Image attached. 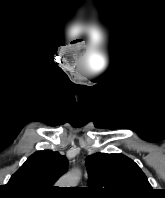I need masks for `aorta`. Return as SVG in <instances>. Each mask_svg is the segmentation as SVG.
I'll return each mask as SVG.
<instances>
[{"label": "aorta", "mask_w": 165, "mask_h": 198, "mask_svg": "<svg viewBox=\"0 0 165 198\" xmlns=\"http://www.w3.org/2000/svg\"><path fill=\"white\" fill-rule=\"evenodd\" d=\"M80 175L79 171H72L62 177L60 185L63 187H75L80 180Z\"/></svg>", "instance_id": "1"}]
</instances>
